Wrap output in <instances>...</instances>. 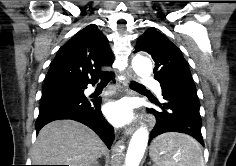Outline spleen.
<instances>
[{
  "label": "spleen",
  "instance_id": "3e777b00",
  "mask_svg": "<svg viewBox=\"0 0 236 166\" xmlns=\"http://www.w3.org/2000/svg\"><path fill=\"white\" fill-rule=\"evenodd\" d=\"M155 166H205L198 142L185 134L164 133L151 145Z\"/></svg>",
  "mask_w": 236,
  "mask_h": 166
}]
</instances>
